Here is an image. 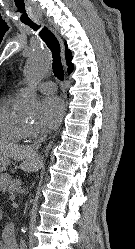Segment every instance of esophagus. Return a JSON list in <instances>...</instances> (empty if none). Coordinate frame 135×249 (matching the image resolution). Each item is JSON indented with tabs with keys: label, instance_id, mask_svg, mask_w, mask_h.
<instances>
[{
	"label": "esophagus",
	"instance_id": "esophagus-1",
	"mask_svg": "<svg viewBox=\"0 0 135 249\" xmlns=\"http://www.w3.org/2000/svg\"><path fill=\"white\" fill-rule=\"evenodd\" d=\"M51 30L56 34V36L59 38V40H60L61 43H62V40H61V38H60V36H59L57 30L54 29V28H52V27H51ZM62 58H64L63 46H62ZM53 141H54V138L48 143V145H47L46 148L44 149V152H45V153H47V152L51 149V147H52V145H53Z\"/></svg>",
	"mask_w": 135,
	"mask_h": 249
}]
</instances>
